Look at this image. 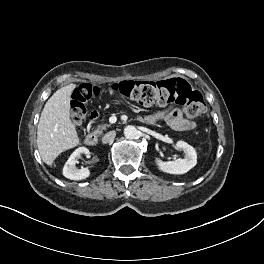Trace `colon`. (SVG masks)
Here are the masks:
<instances>
[{"mask_svg": "<svg viewBox=\"0 0 264 264\" xmlns=\"http://www.w3.org/2000/svg\"><path fill=\"white\" fill-rule=\"evenodd\" d=\"M111 90L143 106L168 105L176 103L184 107L189 118H197L206 111L202 94L181 78L158 82L125 80L114 83ZM100 93L98 88L81 85L75 89L72 102V118L77 125L88 117L87 103Z\"/></svg>", "mask_w": 264, "mask_h": 264, "instance_id": "obj_1", "label": "colon"}]
</instances>
